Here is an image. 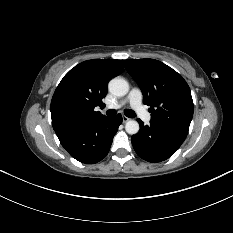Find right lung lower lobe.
Listing matches in <instances>:
<instances>
[{
  "label": "right lung lower lobe",
  "instance_id": "98d812e1",
  "mask_svg": "<svg viewBox=\"0 0 233 233\" xmlns=\"http://www.w3.org/2000/svg\"><path fill=\"white\" fill-rule=\"evenodd\" d=\"M122 116L99 117L56 131L62 146L76 160L94 164L109 152Z\"/></svg>",
  "mask_w": 233,
  "mask_h": 233
}]
</instances>
